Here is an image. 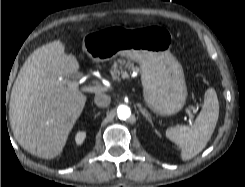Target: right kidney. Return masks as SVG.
<instances>
[{"label":"right kidney","instance_id":"1","mask_svg":"<svg viewBox=\"0 0 245 187\" xmlns=\"http://www.w3.org/2000/svg\"><path fill=\"white\" fill-rule=\"evenodd\" d=\"M86 137L85 132H78L75 136V141L78 145H81Z\"/></svg>","mask_w":245,"mask_h":187}]
</instances>
